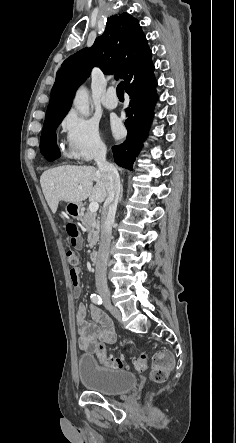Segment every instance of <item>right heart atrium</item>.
<instances>
[{
    "label": "right heart atrium",
    "mask_w": 236,
    "mask_h": 443,
    "mask_svg": "<svg viewBox=\"0 0 236 443\" xmlns=\"http://www.w3.org/2000/svg\"><path fill=\"white\" fill-rule=\"evenodd\" d=\"M65 133V156L77 162H89L105 151L97 123L76 110H70L62 120Z\"/></svg>",
    "instance_id": "obj_1"
}]
</instances>
